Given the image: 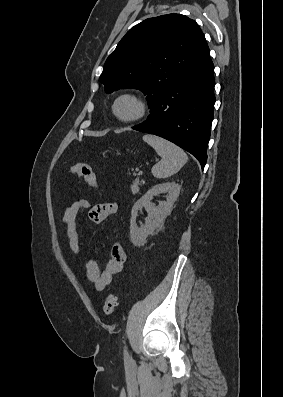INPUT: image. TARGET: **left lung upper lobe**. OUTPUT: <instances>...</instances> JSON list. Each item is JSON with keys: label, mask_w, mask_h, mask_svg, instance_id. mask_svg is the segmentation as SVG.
<instances>
[{"label": "left lung upper lobe", "mask_w": 283, "mask_h": 397, "mask_svg": "<svg viewBox=\"0 0 283 397\" xmlns=\"http://www.w3.org/2000/svg\"><path fill=\"white\" fill-rule=\"evenodd\" d=\"M210 53L198 24L182 14L149 18L132 27L107 58L100 81L111 93L140 89L151 108Z\"/></svg>", "instance_id": "obj_1"}]
</instances>
